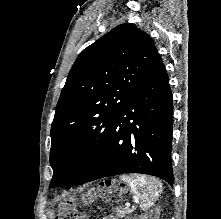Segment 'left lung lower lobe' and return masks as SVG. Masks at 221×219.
<instances>
[{"mask_svg":"<svg viewBox=\"0 0 221 219\" xmlns=\"http://www.w3.org/2000/svg\"><path fill=\"white\" fill-rule=\"evenodd\" d=\"M173 99L159 54L117 116L96 162L77 184L125 173L174 181L171 165Z\"/></svg>","mask_w":221,"mask_h":219,"instance_id":"0a47b994","label":"left lung lower lobe"}]
</instances>
